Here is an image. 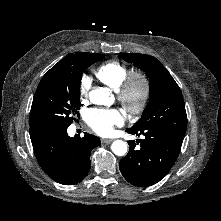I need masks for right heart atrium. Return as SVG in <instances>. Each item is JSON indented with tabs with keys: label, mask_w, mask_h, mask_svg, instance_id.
Masks as SVG:
<instances>
[{
	"label": "right heart atrium",
	"mask_w": 221,
	"mask_h": 221,
	"mask_svg": "<svg viewBox=\"0 0 221 221\" xmlns=\"http://www.w3.org/2000/svg\"><path fill=\"white\" fill-rule=\"evenodd\" d=\"M91 88V80L87 76H83L80 81V95L86 99Z\"/></svg>",
	"instance_id": "1"
}]
</instances>
